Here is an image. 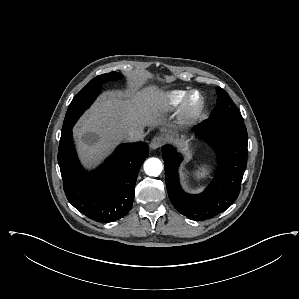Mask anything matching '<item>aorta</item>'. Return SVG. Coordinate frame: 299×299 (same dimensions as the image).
<instances>
[{
    "label": "aorta",
    "mask_w": 299,
    "mask_h": 299,
    "mask_svg": "<svg viewBox=\"0 0 299 299\" xmlns=\"http://www.w3.org/2000/svg\"><path fill=\"white\" fill-rule=\"evenodd\" d=\"M162 168V163L158 158H149L144 163V171L149 176L160 175Z\"/></svg>",
    "instance_id": "aorta-1"
}]
</instances>
